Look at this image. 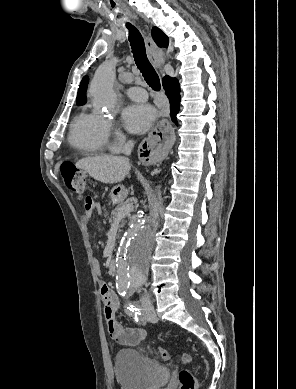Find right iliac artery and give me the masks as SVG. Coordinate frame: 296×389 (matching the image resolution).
<instances>
[{"mask_svg": "<svg viewBox=\"0 0 296 389\" xmlns=\"http://www.w3.org/2000/svg\"><path fill=\"white\" fill-rule=\"evenodd\" d=\"M119 291H120V294H121L122 296H125V295H126V289H125V288H120Z\"/></svg>", "mask_w": 296, "mask_h": 389, "instance_id": "right-iliac-artery-1", "label": "right iliac artery"}]
</instances>
